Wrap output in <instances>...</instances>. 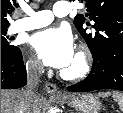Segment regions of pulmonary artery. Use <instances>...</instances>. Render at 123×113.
<instances>
[{
	"label": "pulmonary artery",
	"instance_id": "e3ab8cb5",
	"mask_svg": "<svg viewBox=\"0 0 123 113\" xmlns=\"http://www.w3.org/2000/svg\"><path fill=\"white\" fill-rule=\"evenodd\" d=\"M26 17L16 20L12 25L15 32L28 31L46 26L54 17H64L70 12V4L65 1L56 2L52 10L34 11L29 7L24 8Z\"/></svg>",
	"mask_w": 123,
	"mask_h": 113
}]
</instances>
